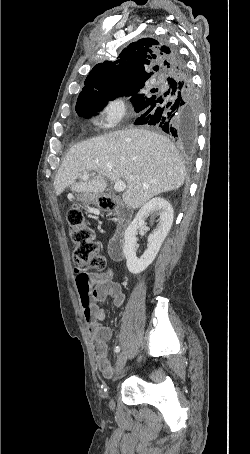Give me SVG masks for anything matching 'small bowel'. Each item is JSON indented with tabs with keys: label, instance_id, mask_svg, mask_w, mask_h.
Masks as SVG:
<instances>
[{
	"label": "small bowel",
	"instance_id": "small-bowel-1",
	"mask_svg": "<svg viewBox=\"0 0 250 454\" xmlns=\"http://www.w3.org/2000/svg\"><path fill=\"white\" fill-rule=\"evenodd\" d=\"M75 282L80 296L81 305L88 323V331L95 349V362L101 374L110 378L117 372V363L109 360L107 342L112 337V330L100 322L106 319V312L97 303L102 304L111 297L115 306L123 305L125 296L119 283L113 280L112 272L87 273L75 270Z\"/></svg>",
	"mask_w": 250,
	"mask_h": 454
}]
</instances>
